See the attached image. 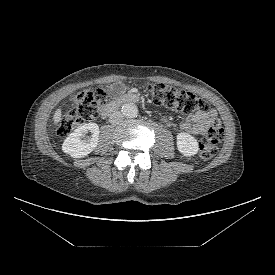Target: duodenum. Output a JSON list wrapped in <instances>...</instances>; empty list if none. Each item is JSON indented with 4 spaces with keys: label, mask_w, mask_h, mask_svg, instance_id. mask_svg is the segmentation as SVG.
<instances>
[{
    "label": "duodenum",
    "mask_w": 275,
    "mask_h": 275,
    "mask_svg": "<svg viewBox=\"0 0 275 275\" xmlns=\"http://www.w3.org/2000/svg\"><path fill=\"white\" fill-rule=\"evenodd\" d=\"M139 100L138 96L132 93L123 95L119 97L118 99L110 102L103 110L102 112V118L106 119L110 117L119 107V105L123 103H135Z\"/></svg>",
    "instance_id": "obj_1"
}]
</instances>
